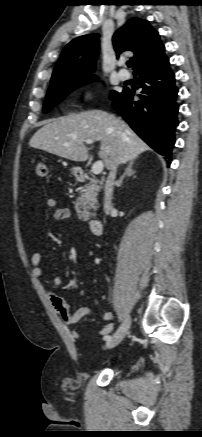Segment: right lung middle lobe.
I'll use <instances>...</instances> for the list:
<instances>
[{
    "label": "right lung middle lobe",
    "instance_id": "obj_1",
    "mask_svg": "<svg viewBox=\"0 0 202 437\" xmlns=\"http://www.w3.org/2000/svg\"><path fill=\"white\" fill-rule=\"evenodd\" d=\"M94 79L93 75L80 76L66 81L52 84L47 92L43 112L46 114L59 104L65 97L76 88L91 82ZM118 94L112 91L110 98Z\"/></svg>",
    "mask_w": 202,
    "mask_h": 437
}]
</instances>
